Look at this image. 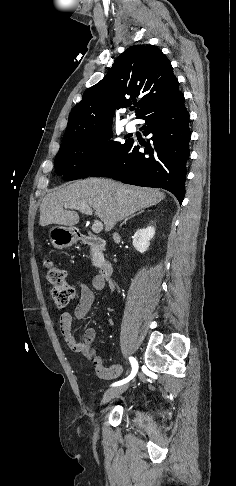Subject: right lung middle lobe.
<instances>
[{
  "label": "right lung middle lobe",
  "instance_id": "obj_1",
  "mask_svg": "<svg viewBox=\"0 0 236 486\" xmlns=\"http://www.w3.org/2000/svg\"><path fill=\"white\" fill-rule=\"evenodd\" d=\"M110 137L112 127L61 144L54 161L56 172L67 181L89 177L131 141L121 144L108 141Z\"/></svg>",
  "mask_w": 236,
  "mask_h": 486
}]
</instances>
